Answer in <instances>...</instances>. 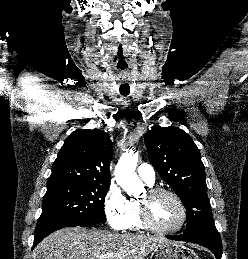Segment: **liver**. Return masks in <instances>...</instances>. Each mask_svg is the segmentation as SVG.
I'll return each instance as SVG.
<instances>
[{"instance_id": "obj_1", "label": "liver", "mask_w": 248, "mask_h": 259, "mask_svg": "<svg viewBox=\"0 0 248 259\" xmlns=\"http://www.w3.org/2000/svg\"><path fill=\"white\" fill-rule=\"evenodd\" d=\"M167 241L155 236L119 234L80 227L47 236L33 251V259H144Z\"/></svg>"}]
</instances>
